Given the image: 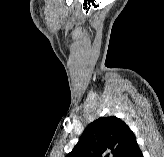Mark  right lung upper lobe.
I'll use <instances>...</instances> for the list:
<instances>
[{
    "instance_id": "cb5924a9",
    "label": "right lung upper lobe",
    "mask_w": 164,
    "mask_h": 157,
    "mask_svg": "<svg viewBox=\"0 0 164 157\" xmlns=\"http://www.w3.org/2000/svg\"><path fill=\"white\" fill-rule=\"evenodd\" d=\"M130 128L115 116L90 123L66 157H123L134 142Z\"/></svg>"
}]
</instances>
